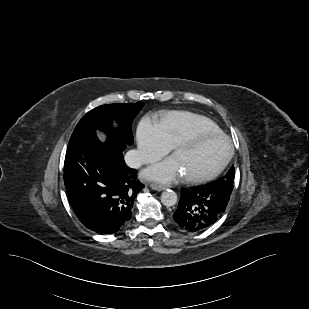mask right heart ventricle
Wrapping results in <instances>:
<instances>
[{"label": "right heart ventricle", "instance_id": "right-heart-ventricle-1", "mask_svg": "<svg viewBox=\"0 0 309 309\" xmlns=\"http://www.w3.org/2000/svg\"><path fill=\"white\" fill-rule=\"evenodd\" d=\"M157 124L171 145L198 130L221 132L211 119L190 111H172L161 115Z\"/></svg>", "mask_w": 309, "mask_h": 309}]
</instances>
